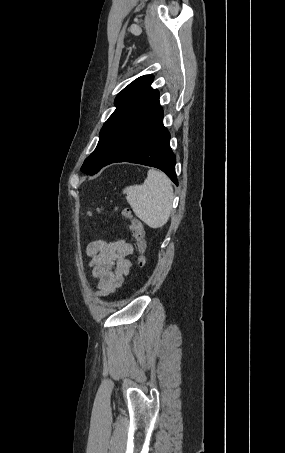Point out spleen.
Listing matches in <instances>:
<instances>
[{
	"label": "spleen",
	"mask_w": 285,
	"mask_h": 453,
	"mask_svg": "<svg viewBox=\"0 0 285 453\" xmlns=\"http://www.w3.org/2000/svg\"><path fill=\"white\" fill-rule=\"evenodd\" d=\"M134 214L151 228H161L169 220L174 197L170 179L155 169H150L141 185L123 190Z\"/></svg>",
	"instance_id": "1"
}]
</instances>
